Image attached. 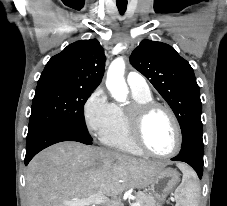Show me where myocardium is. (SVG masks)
<instances>
[{
    "instance_id": "f54148a6",
    "label": "myocardium",
    "mask_w": 227,
    "mask_h": 206,
    "mask_svg": "<svg viewBox=\"0 0 227 206\" xmlns=\"http://www.w3.org/2000/svg\"><path fill=\"white\" fill-rule=\"evenodd\" d=\"M158 110L163 111L168 115L174 125L176 132L175 147L167 154H159L152 151L145 142L144 133L146 123L149 117ZM126 116L131 140L141 152L156 158H169L179 152L183 140L182 130L176 115L169 107L153 100L147 102H133L126 110Z\"/></svg>"
}]
</instances>
